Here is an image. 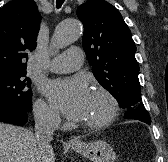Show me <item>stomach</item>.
<instances>
[{"label":"stomach","instance_id":"obj_1","mask_svg":"<svg viewBox=\"0 0 168 162\" xmlns=\"http://www.w3.org/2000/svg\"><path fill=\"white\" fill-rule=\"evenodd\" d=\"M71 147L77 153L87 157L92 162H115L116 159L113 148L102 140Z\"/></svg>","mask_w":168,"mask_h":162}]
</instances>
